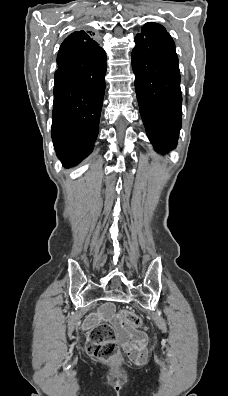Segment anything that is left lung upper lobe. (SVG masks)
I'll use <instances>...</instances> for the list:
<instances>
[{
	"label": "left lung upper lobe",
	"mask_w": 228,
	"mask_h": 396,
	"mask_svg": "<svg viewBox=\"0 0 228 396\" xmlns=\"http://www.w3.org/2000/svg\"><path fill=\"white\" fill-rule=\"evenodd\" d=\"M156 27H161V25L157 24V23H146L144 24V26L141 28L140 34H144L147 32H151L152 29L156 28Z\"/></svg>",
	"instance_id": "1"
}]
</instances>
